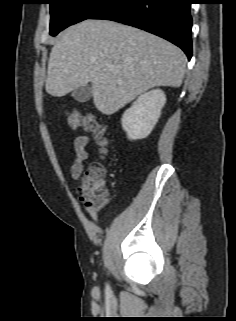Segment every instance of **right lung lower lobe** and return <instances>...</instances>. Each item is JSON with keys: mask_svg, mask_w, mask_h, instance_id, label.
Here are the masks:
<instances>
[{"mask_svg": "<svg viewBox=\"0 0 236 321\" xmlns=\"http://www.w3.org/2000/svg\"><path fill=\"white\" fill-rule=\"evenodd\" d=\"M191 0H110L90 19L134 26L160 36L192 56Z\"/></svg>", "mask_w": 236, "mask_h": 321, "instance_id": "1", "label": "right lung lower lobe"}]
</instances>
